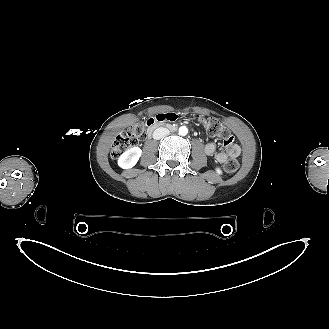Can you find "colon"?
Segmentation results:
<instances>
[{"mask_svg": "<svg viewBox=\"0 0 329 329\" xmlns=\"http://www.w3.org/2000/svg\"><path fill=\"white\" fill-rule=\"evenodd\" d=\"M156 116L144 121H137L122 131L116 137L112 146V156L114 158H118L125 150L132 147L136 141L141 138L144 133L151 127L154 120L156 119ZM199 120L209 135L223 139L226 145L232 143V135L221 122L211 118H200ZM239 165V160L236 157H230L225 162V168L228 172H235L239 168Z\"/></svg>", "mask_w": 329, "mask_h": 329, "instance_id": "5ec220e1", "label": "colon"}]
</instances>
